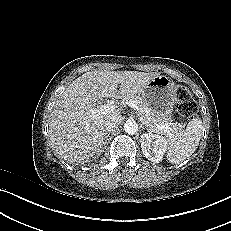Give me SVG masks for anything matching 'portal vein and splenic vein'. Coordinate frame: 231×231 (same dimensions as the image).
Segmentation results:
<instances>
[{
  "label": "portal vein and splenic vein",
  "mask_w": 231,
  "mask_h": 231,
  "mask_svg": "<svg viewBox=\"0 0 231 231\" xmlns=\"http://www.w3.org/2000/svg\"><path fill=\"white\" fill-rule=\"evenodd\" d=\"M128 106L133 108L134 110L139 111V108L136 104L135 101H126L125 102ZM117 106L112 105V104H104V105H99L96 109L91 111V116L95 117L98 114H107L115 111ZM159 130L164 131V132H169L171 128L168 125H162L158 127Z\"/></svg>",
  "instance_id": "1"
}]
</instances>
